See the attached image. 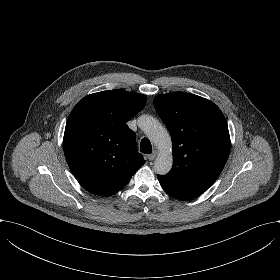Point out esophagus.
<instances>
[{"instance_id":"34e87169","label":"esophagus","mask_w":280,"mask_h":280,"mask_svg":"<svg viewBox=\"0 0 280 280\" xmlns=\"http://www.w3.org/2000/svg\"><path fill=\"white\" fill-rule=\"evenodd\" d=\"M157 154H159L158 150H154L152 154L148 155L147 158L149 161H152L156 158Z\"/></svg>"}]
</instances>
